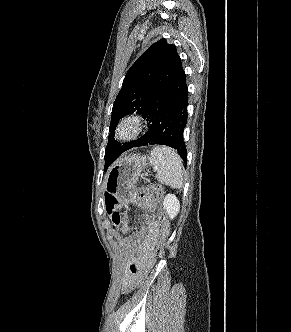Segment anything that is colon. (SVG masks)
Segmentation results:
<instances>
[{
    "label": "colon",
    "instance_id": "5ec220e1",
    "mask_svg": "<svg viewBox=\"0 0 291 332\" xmlns=\"http://www.w3.org/2000/svg\"><path fill=\"white\" fill-rule=\"evenodd\" d=\"M162 188L155 185H148L144 187L139 194V202L143 210L152 211L155 209L154 197L160 198L162 196ZM106 210L112 222L116 226H121L126 222L124 215L118 209L117 199L108 194L105 196ZM159 220L161 224L160 236L157 244L154 246L150 257L139 267L133 268V276L128 284L127 290L138 288L147 277L148 273L155 265V263L163 257L164 247L166 245L169 235V223L163 212L159 213Z\"/></svg>",
    "mask_w": 291,
    "mask_h": 332
}]
</instances>
